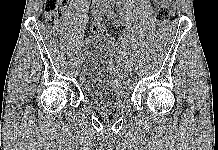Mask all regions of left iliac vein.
Masks as SVG:
<instances>
[{"instance_id": "obj_1", "label": "left iliac vein", "mask_w": 218, "mask_h": 150, "mask_svg": "<svg viewBox=\"0 0 218 150\" xmlns=\"http://www.w3.org/2000/svg\"><path fill=\"white\" fill-rule=\"evenodd\" d=\"M104 13L107 15L108 18H110L108 15H109L110 13L113 14V11H111V9H109L108 5H106L105 8H104ZM111 18H113V17H111ZM134 74H135V73H134L133 71H129V72H128V75H129V76H133Z\"/></svg>"}]
</instances>
